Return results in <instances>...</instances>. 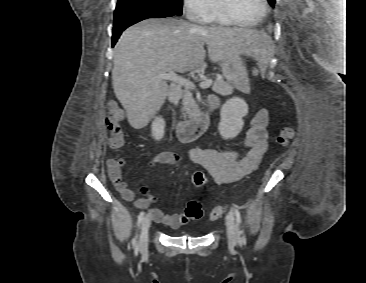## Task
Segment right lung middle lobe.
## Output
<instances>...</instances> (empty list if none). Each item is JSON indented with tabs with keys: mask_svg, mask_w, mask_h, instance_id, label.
Wrapping results in <instances>:
<instances>
[{
	"mask_svg": "<svg viewBox=\"0 0 366 283\" xmlns=\"http://www.w3.org/2000/svg\"><path fill=\"white\" fill-rule=\"evenodd\" d=\"M144 7L159 8L173 15L182 14V0H118L115 11Z\"/></svg>",
	"mask_w": 366,
	"mask_h": 283,
	"instance_id": "obj_1",
	"label": "right lung middle lobe"
}]
</instances>
